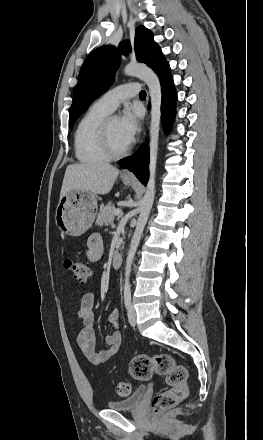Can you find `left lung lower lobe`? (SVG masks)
<instances>
[{"mask_svg":"<svg viewBox=\"0 0 263 440\" xmlns=\"http://www.w3.org/2000/svg\"><path fill=\"white\" fill-rule=\"evenodd\" d=\"M158 74L162 87V119L166 130H168L175 117V107L177 94L174 88L173 78L170 73L168 63L163 64L155 70ZM148 147H141L132 157H127L119 161L121 168H127L146 185L148 180Z\"/></svg>","mask_w":263,"mask_h":440,"instance_id":"0a47b994","label":"left lung lower lobe"}]
</instances>
